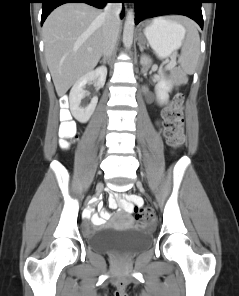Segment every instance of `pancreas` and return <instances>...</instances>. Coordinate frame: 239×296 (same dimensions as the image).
Returning a JSON list of instances; mask_svg holds the SVG:
<instances>
[{"mask_svg": "<svg viewBox=\"0 0 239 296\" xmlns=\"http://www.w3.org/2000/svg\"><path fill=\"white\" fill-rule=\"evenodd\" d=\"M168 69H170L171 71H173L174 68H168Z\"/></svg>", "mask_w": 239, "mask_h": 296, "instance_id": "pancreas-1", "label": "pancreas"}]
</instances>
